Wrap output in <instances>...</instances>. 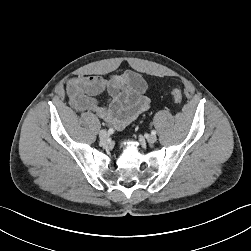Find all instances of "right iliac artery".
Returning a JSON list of instances; mask_svg holds the SVG:
<instances>
[{
	"label": "right iliac artery",
	"mask_w": 251,
	"mask_h": 251,
	"mask_svg": "<svg viewBox=\"0 0 251 251\" xmlns=\"http://www.w3.org/2000/svg\"><path fill=\"white\" fill-rule=\"evenodd\" d=\"M113 131H114V130H113L112 128H109L108 133H109V134H112Z\"/></svg>",
	"instance_id": "1"
}]
</instances>
